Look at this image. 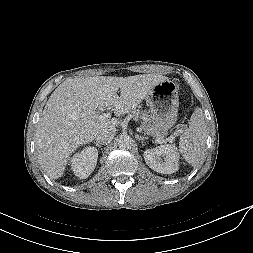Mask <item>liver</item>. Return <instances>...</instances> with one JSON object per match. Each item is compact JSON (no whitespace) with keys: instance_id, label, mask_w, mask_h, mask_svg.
Here are the masks:
<instances>
[{"instance_id":"1","label":"liver","mask_w":253,"mask_h":253,"mask_svg":"<svg viewBox=\"0 0 253 253\" xmlns=\"http://www.w3.org/2000/svg\"><path fill=\"white\" fill-rule=\"evenodd\" d=\"M165 80L168 77L155 74L65 80L51 94L37 126L36 151L41 168L50 178H60L69 156L79 146L94 140L100 128L118 124L116 118L99 120L96 109L114 108L118 116L130 113Z\"/></svg>"}]
</instances>
